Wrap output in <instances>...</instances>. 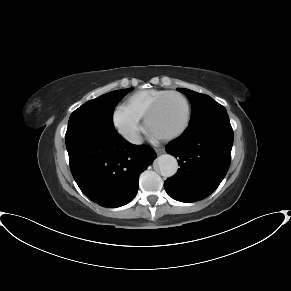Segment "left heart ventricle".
Masks as SVG:
<instances>
[{
  "mask_svg": "<svg viewBox=\"0 0 291 291\" xmlns=\"http://www.w3.org/2000/svg\"><path fill=\"white\" fill-rule=\"evenodd\" d=\"M186 120V105L178 96L168 97L150 121V133L155 137L177 131Z\"/></svg>",
  "mask_w": 291,
  "mask_h": 291,
  "instance_id": "b2bd125f",
  "label": "left heart ventricle"
}]
</instances>
